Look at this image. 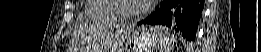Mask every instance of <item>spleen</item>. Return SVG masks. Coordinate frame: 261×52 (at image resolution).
Returning a JSON list of instances; mask_svg holds the SVG:
<instances>
[{
    "label": "spleen",
    "instance_id": "3e777b00",
    "mask_svg": "<svg viewBox=\"0 0 261 52\" xmlns=\"http://www.w3.org/2000/svg\"><path fill=\"white\" fill-rule=\"evenodd\" d=\"M158 30L159 34V52H169L172 39L170 38V34L165 32L162 27H153Z\"/></svg>",
    "mask_w": 261,
    "mask_h": 52
}]
</instances>
